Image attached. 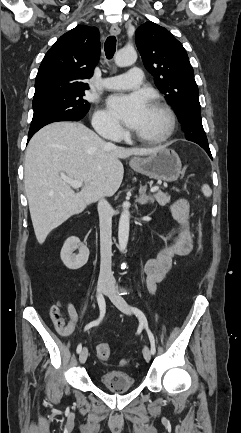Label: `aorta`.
<instances>
[{
    "mask_svg": "<svg viewBox=\"0 0 241 433\" xmlns=\"http://www.w3.org/2000/svg\"><path fill=\"white\" fill-rule=\"evenodd\" d=\"M137 60V53L133 48H124L119 50L115 55V63L119 67H126L134 64ZM123 212L120 216L119 220V228H118V241H119V250L123 252L128 243L129 238V226H130V212L129 202H124Z\"/></svg>",
    "mask_w": 241,
    "mask_h": 433,
    "instance_id": "aorta-1",
    "label": "aorta"
}]
</instances>
